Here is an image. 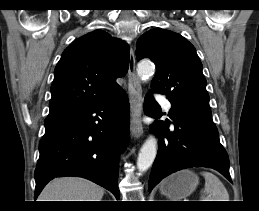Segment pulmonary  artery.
<instances>
[{"label": "pulmonary artery", "instance_id": "1", "mask_svg": "<svg viewBox=\"0 0 259 211\" xmlns=\"http://www.w3.org/2000/svg\"><path fill=\"white\" fill-rule=\"evenodd\" d=\"M159 100H160V103L161 105L163 106V108L169 112L170 108H171V104L169 102V100H167L166 98H163V97H159Z\"/></svg>", "mask_w": 259, "mask_h": 211}]
</instances>
